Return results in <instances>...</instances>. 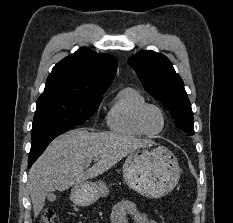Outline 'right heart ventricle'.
Segmentation results:
<instances>
[{"label":"right heart ventricle","mask_w":233,"mask_h":223,"mask_svg":"<svg viewBox=\"0 0 233 223\" xmlns=\"http://www.w3.org/2000/svg\"><path fill=\"white\" fill-rule=\"evenodd\" d=\"M144 103L146 98L136 87L120 88L105 113L107 128L120 135L143 137L145 134L136 124V113Z\"/></svg>","instance_id":"e07e8e85"}]
</instances>
